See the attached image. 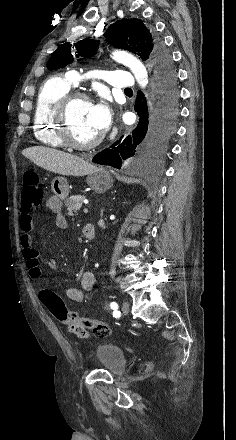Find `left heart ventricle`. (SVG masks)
Wrapping results in <instances>:
<instances>
[{
  "label": "left heart ventricle",
  "mask_w": 236,
  "mask_h": 440,
  "mask_svg": "<svg viewBox=\"0 0 236 440\" xmlns=\"http://www.w3.org/2000/svg\"><path fill=\"white\" fill-rule=\"evenodd\" d=\"M91 108V103L77 101L69 111L70 131L78 142H88L100 134L91 118Z\"/></svg>",
  "instance_id": "1"
}]
</instances>
